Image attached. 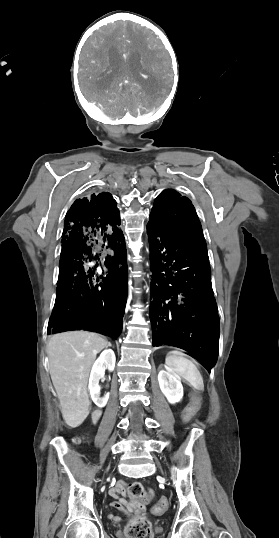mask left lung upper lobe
I'll return each mask as SVG.
<instances>
[{
	"label": "left lung upper lobe",
	"mask_w": 279,
	"mask_h": 538,
	"mask_svg": "<svg viewBox=\"0 0 279 538\" xmlns=\"http://www.w3.org/2000/svg\"><path fill=\"white\" fill-rule=\"evenodd\" d=\"M147 228L176 237L204 240L202 227L191 201L171 189L164 190L155 199Z\"/></svg>",
	"instance_id": "5c2ea615"
}]
</instances>
